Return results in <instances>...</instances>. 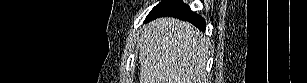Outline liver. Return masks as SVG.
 <instances>
[{
  "label": "liver",
  "mask_w": 307,
  "mask_h": 83,
  "mask_svg": "<svg viewBox=\"0 0 307 83\" xmlns=\"http://www.w3.org/2000/svg\"><path fill=\"white\" fill-rule=\"evenodd\" d=\"M209 42L193 25L176 18L148 23L140 43V83H206Z\"/></svg>",
  "instance_id": "obj_1"
}]
</instances>
